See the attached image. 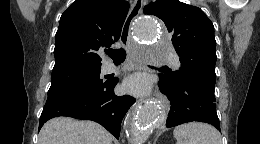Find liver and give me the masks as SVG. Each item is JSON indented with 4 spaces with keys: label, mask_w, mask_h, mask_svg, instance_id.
Segmentation results:
<instances>
[{
    "label": "liver",
    "mask_w": 260,
    "mask_h": 144,
    "mask_svg": "<svg viewBox=\"0 0 260 144\" xmlns=\"http://www.w3.org/2000/svg\"><path fill=\"white\" fill-rule=\"evenodd\" d=\"M112 135L93 121L56 117L44 124L39 144H112Z\"/></svg>",
    "instance_id": "6515ba94"
}]
</instances>
